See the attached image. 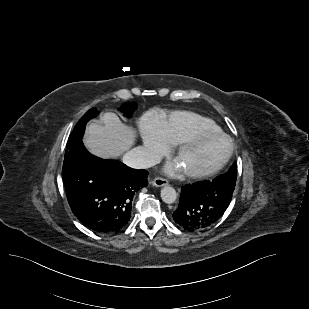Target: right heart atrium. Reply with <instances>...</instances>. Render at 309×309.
Returning a JSON list of instances; mask_svg holds the SVG:
<instances>
[{
    "label": "right heart atrium",
    "mask_w": 309,
    "mask_h": 309,
    "mask_svg": "<svg viewBox=\"0 0 309 309\" xmlns=\"http://www.w3.org/2000/svg\"><path fill=\"white\" fill-rule=\"evenodd\" d=\"M141 137L142 154L146 160L154 161L165 153L166 143L155 127L148 124L143 125Z\"/></svg>",
    "instance_id": "right-heart-atrium-1"
}]
</instances>
